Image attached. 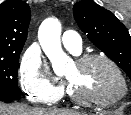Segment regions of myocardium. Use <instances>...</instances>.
Returning a JSON list of instances; mask_svg holds the SVG:
<instances>
[{
	"label": "myocardium",
	"mask_w": 131,
	"mask_h": 115,
	"mask_svg": "<svg viewBox=\"0 0 131 115\" xmlns=\"http://www.w3.org/2000/svg\"><path fill=\"white\" fill-rule=\"evenodd\" d=\"M93 61H102L108 64L115 71L116 75L120 80L121 85L120 92L117 95L109 98H94L85 95H78L72 89H69L68 91L69 98L79 105L100 106V107H108L124 99L128 92L127 82L121 68L111 58L102 54H87L78 57L75 61V64L78 67H83Z\"/></svg>",
	"instance_id": "myocardium-1"
}]
</instances>
